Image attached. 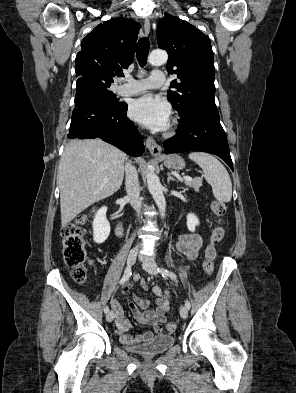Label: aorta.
Returning a JSON list of instances; mask_svg holds the SVG:
<instances>
[{
    "label": "aorta",
    "mask_w": 296,
    "mask_h": 393,
    "mask_svg": "<svg viewBox=\"0 0 296 393\" xmlns=\"http://www.w3.org/2000/svg\"><path fill=\"white\" fill-rule=\"evenodd\" d=\"M167 59L168 55L166 51L154 50L149 55L148 61L154 66H160L165 64L167 62ZM146 178L149 192L152 195L156 205L158 206L161 217L163 218L165 216L166 201L162 191V185L160 183V180L158 176L150 169L147 170Z\"/></svg>",
    "instance_id": "aorta-1"
}]
</instances>
